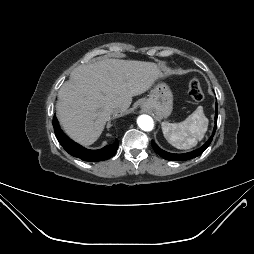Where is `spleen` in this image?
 <instances>
[{
    "label": "spleen",
    "instance_id": "3e777b00",
    "mask_svg": "<svg viewBox=\"0 0 254 254\" xmlns=\"http://www.w3.org/2000/svg\"><path fill=\"white\" fill-rule=\"evenodd\" d=\"M162 131L166 140L177 149H190L201 141L208 129V119L203 107L197 109L180 123L162 122Z\"/></svg>",
    "mask_w": 254,
    "mask_h": 254
}]
</instances>
